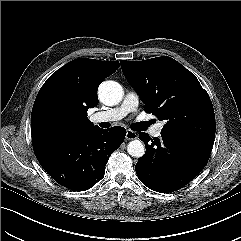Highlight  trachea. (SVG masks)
<instances>
[{
  "instance_id": "3493384b",
  "label": "trachea",
  "mask_w": 241,
  "mask_h": 241,
  "mask_svg": "<svg viewBox=\"0 0 241 241\" xmlns=\"http://www.w3.org/2000/svg\"><path fill=\"white\" fill-rule=\"evenodd\" d=\"M150 122H141L136 123L132 126L133 130L135 131H143L148 125H150Z\"/></svg>"
}]
</instances>
